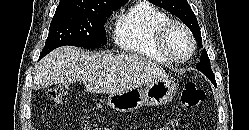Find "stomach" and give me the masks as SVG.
Instances as JSON below:
<instances>
[{"instance_id": "stomach-1", "label": "stomach", "mask_w": 249, "mask_h": 130, "mask_svg": "<svg viewBox=\"0 0 249 130\" xmlns=\"http://www.w3.org/2000/svg\"><path fill=\"white\" fill-rule=\"evenodd\" d=\"M177 92V84L168 78H159L145 85L144 89H131L110 94L107 105L118 112H132L143 105L158 106L170 102Z\"/></svg>"}]
</instances>
